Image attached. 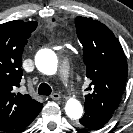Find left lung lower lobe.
Segmentation results:
<instances>
[{"instance_id": "obj_1", "label": "left lung lower lobe", "mask_w": 133, "mask_h": 133, "mask_svg": "<svg viewBox=\"0 0 133 133\" xmlns=\"http://www.w3.org/2000/svg\"><path fill=\"white\" fill-rule=\"evenodd\" d=\"M112 115L100 114L92 110L85 109L84 116L79 120L78 125L82 128L91 130H98L103 127L110 119Z\"/></svg>"}]
</instances>
